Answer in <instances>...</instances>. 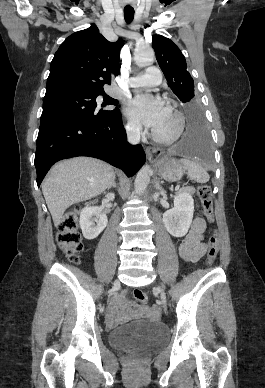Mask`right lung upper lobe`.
<instances>
[{"instance_id": "cb5924a9", "label": "right lung upper lobe", "mask_w": 265, "mask_h": 388, "mask_svg": "<svg viewBox=\"0 0 265 388\" xmlns=\"http://www.w3.org/2000/svg\"><path fill=\"white\" fill-rule=\"evenodd\" d=\"M122 39L109 42L96 25L70 35L54 55L47 79L46 94L101 92L111 75L120 72Z\"/></svg>"}]
</instances>
